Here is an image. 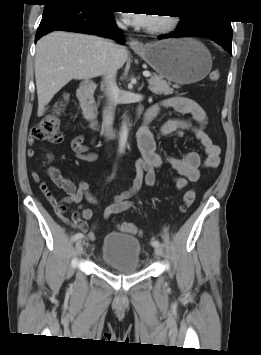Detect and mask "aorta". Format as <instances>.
<instances>
[{
    "label": "aorta",
    "mask_w": 261,
    "mask_h": 355,
    "mask_svg": "<svg viewBox=\"0 0 261 355\" xmlns=\"http://www.w3.org/2000/svg\"><path fill=\"white\" fill-rule=\"evenodd\" d=\"M127 139H128V125L127 122L124 121L122 123L121 131L119 135V147H118L119 153H124L127 144Z\"/></svg>",
    "instance_id": "obj_1"
}]
</instances>
